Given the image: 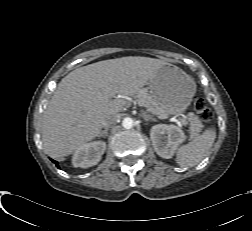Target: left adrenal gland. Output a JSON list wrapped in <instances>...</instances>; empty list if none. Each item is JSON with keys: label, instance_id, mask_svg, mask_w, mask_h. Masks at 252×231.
<instances>
[{"label": "left adrenal gland", "instance_id": "a2214340", "mask_svg": "<svg viewBox=\"0 0 252 231\" xmlns=\"http://www.w3.org/2000/svg\"><path fill=\"white\" fill-rule=\"evenodd\" d=\"M145 120H149V119H154L151 115H148L144 118Z\"/></svg>", "mask_w": 252, "mask_h": 231}]
</instances>
